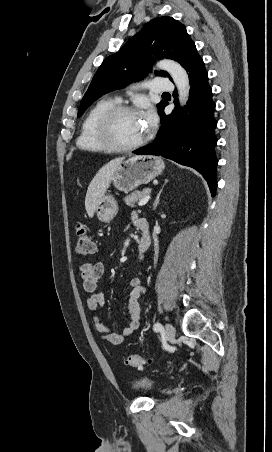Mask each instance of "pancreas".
<instances>
[{"instance_id": "cf45deb5", "label": "pancreas", "mask_w": 272, "mask_h": 452, "mask_svg": "<svg viewBox=\"0 0 272 452\" xmlns=\"http://www.w3.org/2000/svg\"><path fill=\"white\" fill-rule=\"evenodd\" d=\"M150 188H145L142 191H135L124 198L126 205L134 207L137 202L150 193Z\"/></svg>"}]
</instances>
